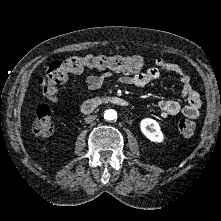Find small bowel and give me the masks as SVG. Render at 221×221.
<instances>
[{
	"mask_svg": "<svg viewBox=\"0 0 221 221\" xmlns=\"http://www.w3.org/2000/svg\"><path fill=\"white\" fill-rule=\"evenodd\" d=\"M161 71L174 74L179 78L182 84L181 95L186 101V104L181 105L172 100L161 101L159 103V116L161 118H168L182 114L191 119L197 118L199 116L201 99L198 92L193 89L189 75L178 63L168 62L163 58H156L155 65L143 72L126 74L115 79H112L109 73L89 74L85 77L86 89L95 90L111 83L115 85L142 87L158 79Z\"/></svg>",
	"mask_w": 221,
	"mask_h": 221,
	"instance_id": "small-bowel-1",
	"label": "small bowel"
}]
</instances>
